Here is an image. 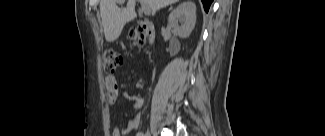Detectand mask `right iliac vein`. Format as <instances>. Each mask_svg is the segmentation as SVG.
<instances>
[{
    "label": "right iliac vein",
    "instance_id": "1",
    "mask_svg": "<svg viewBox=\"0 0 325 136\" xmlns=\"http://www.w3.org/2000/svg\"><path fill=\"white\" fill-rule=\"evenodd\" d=\"M149 135H150L149 132H147V133H146V136H149Z\"/></svg>",
    "mask_w": 325,
    "mask_h": 136
}]
</instances>
